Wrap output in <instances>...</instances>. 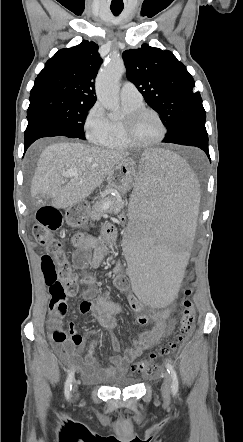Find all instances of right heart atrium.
<instances>
[{"instance_id":"right-heart-atrium-1","label":"right heart atrium","mask_w":243,"mask_h":442,"mask_svg":"<svg viewBox=\"0 0 243 442\" xmlns=\"http://www.w3.org/2000/svg\"><path fill=\"white\" fill-rule=\"evenodd\" d=\"M107 120L103 108L98 102H95L85 116L83 128L86 137L94 142L103 135L107 129Z\"/></svg>"}]
</instances>
